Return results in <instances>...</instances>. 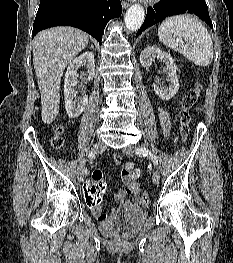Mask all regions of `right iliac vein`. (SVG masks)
Masks as SVG:
<instances>
[{
	"label": "right iliac vein",
	"mask_w": 233,
	"mask_h": 263,
	"mask_svg": "<svg viewBox=\"0 0 233 263\" xmlns=\"http://www.w3.org/2000/svg\"><path fill=\"white\" fill-rule=\"evenodd\" d=\"M105 149H106L105 143L103 141H98L93 145L90 153H92V154L101 153ZM86 174H87V172H86V168H85V160H83V161H81V163L78 166V170H77L78 180L80 182H83L85 177H86Z\"/></svg>",
	"instance_id": "right-iliac-vein-1"
}]
</instances>
